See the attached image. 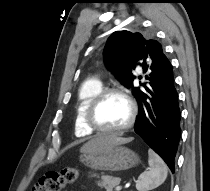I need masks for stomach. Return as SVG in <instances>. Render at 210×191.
Instances as JSON below:
<instances>
[{"label":"stomach","mask_w":210,"mask_h":191,"mask_svg":"<svg viewBox=\"0 0 210 191\" xmlns=\"http://www.w3.org/2000/svg\"><path fill=\"white\" fill-rule=\"evenodd\" d=\"M81 153L80 161L93 170L124 171L141 162L134 151L121 145H110Z\"/></svg>","instance_id":"1"}]
</instances>
